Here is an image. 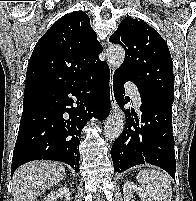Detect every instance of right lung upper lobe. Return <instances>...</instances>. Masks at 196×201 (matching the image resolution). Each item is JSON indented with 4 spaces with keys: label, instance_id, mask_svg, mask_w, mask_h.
I'll return each mask as SVG.
<instances>
[{
    "label": "right lung upper lobe",
    "instance_id": "cb5924a9",
    "mask_svg": "<svg viewBox=\"0 0 196 201\" xmlns=\"http://www.w3.org/2000/svg\"><path fill=\"white\" fill-rule=\"evenodd\" d=\"M102 46L88 15L74 11L61 17L39 39L30 57L24 96L76 80L101 63Z\"/></svg>",
    "mask_w": 196,
    "mask_h": 201
}]
</instances>
